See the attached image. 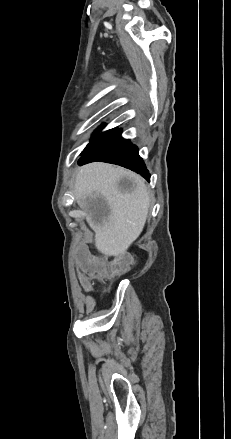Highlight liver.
Masks as SVG:
<instances>
[{"mask_svg":"<svg viewBox=\"0 0 231 439\" xmlns=\"http://www.w3.org/2000/svg\"><path fill=\"white\" fill-rule=\"evenodd\" d=\"M126 177L133 188L122 192L119 181ZM74 195L83 205L87 198L101 195L107 203L101 219L88 214L87 220L95 231V246L106 256H121L141 234L148 215L150 196L139 175L121 167L95 162L77 170Z\"/></svg>","mask_w":231,"mask_h":439,"instance_id":"obj_1","label":"liver"}]
</instances>
